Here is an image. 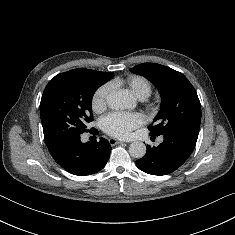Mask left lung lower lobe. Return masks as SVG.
I'll list each match as a JSON object with an SVG mask.
<instances>
[{
	"mask_svg": "<svg viewBox=\"0 0 235 235\" xmlns=\"http://www.w3.org/2000/svg\"><path fill=\"white\" fill-rule=\"evenodd\" d=\"M162 136L164 140L159 146L148 145L146 155L136 161L137 167L145 173L167 175L179 168L193 152L198 133L173 131Z\"/></svg>",
	"mask_w": 235,
	"mask_h": 235,
	"instance_id": "0a47b994",
	"label": "left lung lower lobe"
}]
</instances>
